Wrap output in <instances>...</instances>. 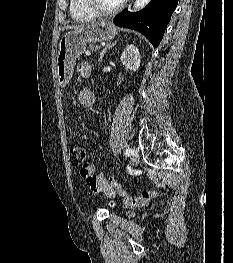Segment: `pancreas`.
Listing matches in <instances>:
<instances>
[{
    "instance_id": "obj_1",
    "label": "pancreas",
    "mask_w": 233,
    "mask_h": 263,
    "mask_svg": "<svg viewBox=\"0 0 233 263\" xmlns=\"http://www.w3.org/2000/svg\"><path fill=\"white\" fill-rule=\"evenodd\" d=\"M99 48V46H97V45H89V49L91 50V51H95L96 49H98Z\"/></svg>"
}]
</instances>
